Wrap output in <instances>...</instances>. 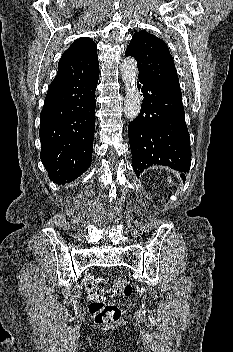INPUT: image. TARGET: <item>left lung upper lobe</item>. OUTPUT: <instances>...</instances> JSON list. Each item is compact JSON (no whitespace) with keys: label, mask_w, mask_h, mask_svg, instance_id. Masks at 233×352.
Wrapping results in <instances>:
<instances>
[{"label":"left lung upper lobe","mask_w":233,"mask_h":352,"mask_svg":"<svg viewBox=\"0 0 233 352\" xmlns=\"http://www.w3.org/2000/svg\"><path fill=\"white\" fill-rule=\"evenodd\" d=\"M126 56L137 61L138 76L182 97L174 61L163 40L146 31H138L126 49Z\"/></svg>","instance_id":"5c2ea615"}]
</instances>
